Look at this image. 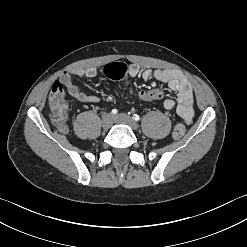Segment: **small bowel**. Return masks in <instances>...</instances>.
<instances>
[{"mask_svg":"<svg viewBox=\"0 0 247 247\" xmlns=\"http://www.w3.org/2000/svg\"><path fill=\"white\" fill-rule=\"evenodd\" d=\"M128 74L131 77L141 76L143 80L155 79L167 83L168 86L178 93L176 99L167 98L163 105L167 110L176 108L177 113L186 123H190L193 117V91L190 82L184 74L176 69H141L137 64L128 66ZM98 71L95 68H75L64 72L58 82L63 87L64 92L80 102H98L99 98L94 95H86L74 83V77L95 78Z\"/></svg>","mask_w":247,"mask_h":247,"instance_id":"small-bowel-1","label":"small bowel"}]
</instances>
